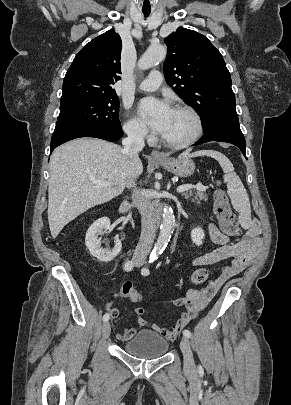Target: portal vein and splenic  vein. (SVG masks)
<instances>
[{"mask_svg":"<svg viewBox=\"0 0 291 405\" xmlns=\"http://www.w3.org/2000/svg\"><path fill=\"white\" fill-rule=\"evenodd\" d=\"M91 180L96 184L97 187H109V186H111V182H109V181L97 180V179H94V178H92ZM191 189H196L198 191H206V187L203 186V185L184 184V185H181V186H179L177 188V192L178 193H183V192H186V191L191 190Z\"/></svg>","mask_w":291,"mask_h":405,"instance_id":"obj_1","label":"portal vein and splenic vein"}]
</instances>
